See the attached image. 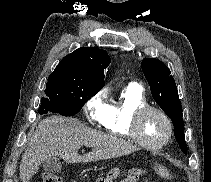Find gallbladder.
<instances>
[{
    "instance_id": "1",
    "label": "gallbladder",
    "mask_w": 211,
    "mask_h": 182,
    "mask_svg": "<svg viewBox=\"0 0 211 182\" xmlns=\"http://www.w3.org/2000/svg\"><path fill=\"white\" fill-rule=\"evenodd\" d=\"M61 168H62V165H61L59 157L57 156L48 157L43 162V169L49 174H56L60 172Z\"/></svg>"
}]
</instances>
